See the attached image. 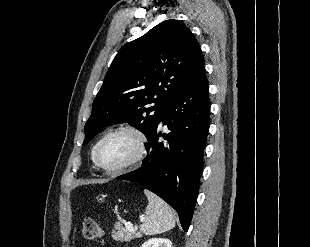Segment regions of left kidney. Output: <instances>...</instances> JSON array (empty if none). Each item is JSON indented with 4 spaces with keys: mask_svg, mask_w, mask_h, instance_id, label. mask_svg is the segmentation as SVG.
<instances>
[{
    "mask_svg": "<svg viewBox=\"0 0 310 247\" xmlns=\"http://www.w3.org/2000/svg\"><path fill=\"white\" fill-rule=\"evenodd\" d=\"M141 247H172V242L166 238H152L146 241Z\"/></svg>",
    "mask_w": 310,
    "mask_h": 247,
    "instance_id": "5707ae66",
    "label": "left kidney"
}]
</instances>
